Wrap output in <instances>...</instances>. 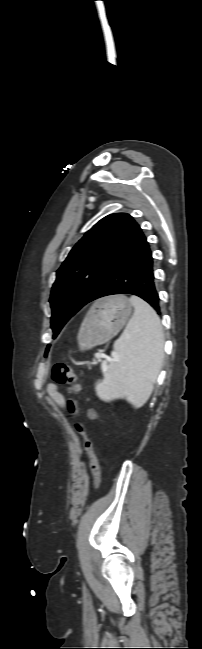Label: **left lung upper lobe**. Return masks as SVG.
Segmentation results:
<instances>
[{
    "label": "left lung upper lobe",
    "mask_w": 202,
    "mask_h": 649,
    "mask_svg": "<svg viewBox=\"0 0 202 649\" xmlns=\"http://www.w3.org/2000/svg\"><path fill=\"white\" fill-rule=\"evenodd\" d=\"M140 231L130 215L111 214L96 223L74 246L57 271L51 291L53 338L76 312L94 299Z\"/></svg>",
    "instance_id": "1"
}]
</instances>
